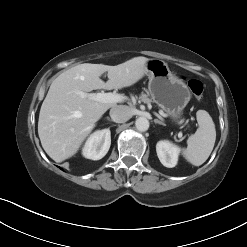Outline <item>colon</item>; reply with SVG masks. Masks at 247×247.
<instances>
[{"label":"colon","instance_id":"5ec220e1","mask_svg":"<svg viewBox=\"0 0 247 247\" xmlns=\"http://www.w3.org/2000/svg\"><path fill=\"white\" fill-rule=\"evenodd\" d=\"M188 87L197 99L202 98L204 88L201 81L196 79H191L188 81Z\"/></svg>","mask_w":247,"mask_h":247}]
</instances>
